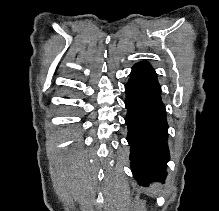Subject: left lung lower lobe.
Returning a JSON list of instances; mask_svg holds the SVG:
<instances>
[{"label": "left lung lower lobe", "mask_w": 219, "mask_h": 211, "mask_svg": "<svg viewBox=\"0 0 219 211\" xmlns=\"http://www.w3.org/2000/svg\"><path fill=\"white\" fill-rule=\"evenodd\" d=\"M125 117L131 146V169L139 184L166 177L170 159L165 105L152 66L142 61L132 68L125 86Z\"/></svg>", "instance_id": "1"}]
</instances>
